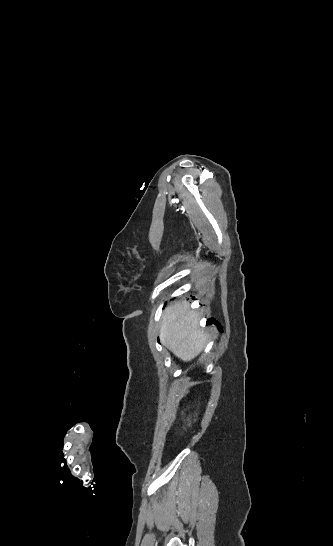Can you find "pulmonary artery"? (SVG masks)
I'll return each mask as SVG.
<instances>
[{
  "mask_svg": "<svg viewBox=\"0 0 333 546\" xmlns=\"http://www.w3.org/2000/svg\"><path fill=\"white\" fill-rule=\"evenodd\" d=\"M272 14H283L282 12H276V13H272Z\"/></svg>",
  "mask_w": 333,
  "mask_h": 546,
  "instance_id": "1",
  "label": "pulmonary artery"
}]
</instances>
